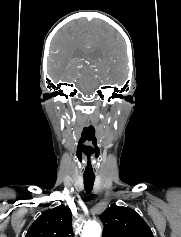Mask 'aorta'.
Instances as JSON below:
<instances>
[{
  "label": "aorta",
  "mask_w": 181,
  "mask_h": 237,
  "mask_svg": "<svg viewBox=\"0 0 181 237\" xmlns=\"http://www.w3.org/2000/svg\"><path fill=\"white\" fill-rule=\"evenodd\" d=\"M101 226L98 222L93 221L85 224L82 237H100L101 236Z\"/></svg>",
  "instance_id": "obj_1"
}]
</instances>
